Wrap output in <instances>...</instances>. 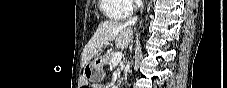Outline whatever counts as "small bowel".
Returning a JSON list of instances; mask_svg holds the SVG:
<instances>
[{
    "mask_svg": "<svg viewBox=\"0 0 227 88\" xmlns=\"http://www.w3.org/2000/svg\"><path fill=\"white\" fill-rule=\"evenodd\" d=\"M94 87L95 88H101L102 86H100V85L97 84V85H94Z\"/></svg>",
    "mask_w": 227,
    "mask_h": 88,
    "instance_id": "obj_1",
    "label": "small bowel"
}]
</instances>
